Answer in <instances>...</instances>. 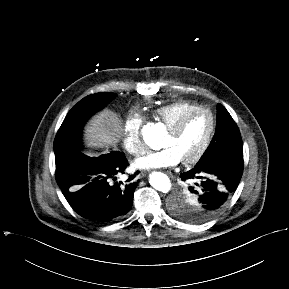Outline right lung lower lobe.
<instances>
[{
    "mask_svg": "<svg viewBox=\"0 0 289 289\" xmlns=\"http://www.w3.org/2000/svg\"><path fill=\"white\" fill-rule=\"evenodd\" d=\"M55 162L56 181L80 216L95 223H109L130 211L138 181L124 186L111 183L128 166L124 153L111 151L89 157L75 149L55 158ZM134 177L131 175L127 181Z\"/></svg>",
    "mask_w": 289,
    "mask_h": 289,
    "instance_id": "1",
    "label": "right lung lower lobe"
}]
</instances>
